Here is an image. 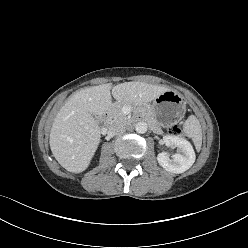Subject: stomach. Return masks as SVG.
Listing matches in <instances>:
<instances>
[{
    "label": "stomach",
    "mask_w": 248,
    "mask_h": 248,
    "mask_svg": "<svg viewBox=\"0 0 248 248\" xmlns=\"http://www.w3.org/2000/svg\"><path fill=\"white\" fill-rule=\"evenodd\" d=\"M150 111L161 126H170L183 117L185 102L179 93L168 90L154 99Z\"/></svg>",
    "instance_id": "1"
}]
</instances>
